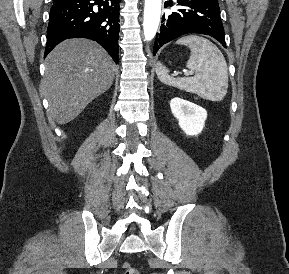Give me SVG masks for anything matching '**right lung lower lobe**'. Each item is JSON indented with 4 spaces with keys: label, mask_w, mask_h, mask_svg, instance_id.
Instances as JSON below:
<instances>
[{
    "label": "right lung lower lobe",
    "mask_w": 289,
    "mask_h": 274,
    "mask_svg": "<svg viewBox=\"0 0 289 274\" xmlns=\"http://www.w3.org/2000/svg\"><path fill=\"white\" fill-rule=\"evenodd\" d=\"M119 0H53L45 56L67 38L97 41L117 63Z\"/></svg>",
    "instance_id": "1"
}]
</instances>
